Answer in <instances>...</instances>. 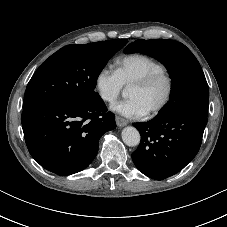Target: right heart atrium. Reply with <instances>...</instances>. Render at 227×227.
<instances>
[{"mask_svg":"<svg viewBox=\"0 0 227 227\" xmlns=\"http://www.w3.org/2000/svg\"><path fill=\"white\" fill-rule=\"evenodd\" d=\"M94 88L103 102L111 104L122 92L123 84L115 70L105 66L95 75Z\"/></svg>","mask_w":227,"mask_h":227,"instance_id":"obj_1","label":"right heart atrium"}]
</instances>
